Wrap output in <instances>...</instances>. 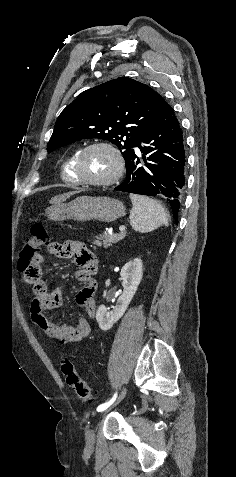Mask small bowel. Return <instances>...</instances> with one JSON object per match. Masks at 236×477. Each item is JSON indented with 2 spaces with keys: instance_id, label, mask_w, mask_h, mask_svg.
<instances>
[{
  "instance_id": "c3829d8e",
  "label": "small bowel",
  "mask_w": 236,
  "mask_h": 477,
  "mask_svg": "<svg viewBox=\"0 0 236 477\" xmlns=\"http://www.w3.org/2000/svg\"><path fill=\"white\" fill-rule=\"evenodd\" d=\"M49 252L60 259H74L77 269L75 279L84 283V287L75 295L76 305L92 317L95 311L94 296L97 284L93 280L98 268L97 257L81 242L68 240L64 243H52ZM42 289L35 293L30 304L33 323L46 335L58 339L61 343H74L83 340L91 333V325L86 317L78 315L75 323H57L45 314L62 305L64 300V285H59L49 291L48 284L41 281Z\"/></svg>"
}]
</instances>
